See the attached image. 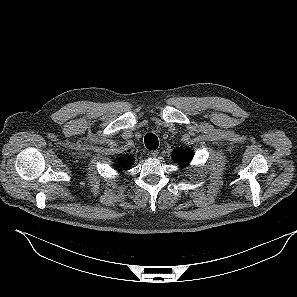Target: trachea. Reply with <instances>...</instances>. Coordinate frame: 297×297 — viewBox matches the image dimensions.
<instances>
[{
  "label": "trachea",
  "mask_w": 297,
  "mask_h": 297,
  "mask_svg": "<svg viewBox=\"0 0 297 297\" xmlns=\"http://www.w3.org/2000/svg\"><path fill=\"white\" fill-rule=\"evenodd\" d=\"M144 143L146 148L149 150H155L158 148V145H159L158 138L153 133H148L145 135Z\"/></svg>",
  "instance_id": "trachea-1"
}]
</instances>
